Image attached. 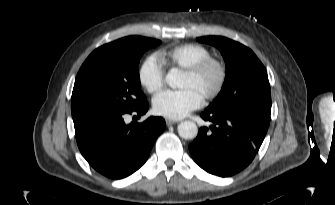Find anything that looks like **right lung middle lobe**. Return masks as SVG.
<instances>
[{
	"label": "right lung middle lobe",
	"mask_w": 335,
	"mask_h": 205,
	"mask_svg": "<svg viewBox=\"0 0 335 205\" xmlns=\"http://www.w3.org/2000/svg\"><path fill=\"white\" fill-rule=\"evenodd\" d=\"M161 41L129 36L94 50L81 66L72 92V117L121 113L146 102L138 64L143 53Z\"/></svg>",
	"instance_id": "obj_1"
}]
</instances>
